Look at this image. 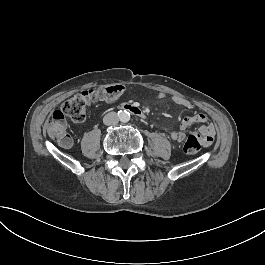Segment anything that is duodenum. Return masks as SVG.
Instances as JSON below:
<instances>
[{
	"label": "duodenum",
	"instance_id": "obj_1",
	"mask_svg": "<svg viewBox=\"0 0 265 265\" xmlns=\"http://www.w3.org/2000/svg\"><path fill=\"white\" fill-rule=\"evenodd\" d=\"M120 108L127 110L130 113H132V114H134V115H136L142 119L147 118V114L145 113V111L135 104H124V105H121Z\"/></svg>",
	"mask_w": 265,
	"mask_h": 265
}]
</instances>
